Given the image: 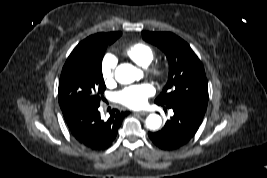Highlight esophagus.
Listing matches in <instances>:
<instances>
[{
    "instance_id": "obj_1",
    "label": "esophagus",
    "mask_w": 267,
    "mask_h": 178,
    "mask_svg": "<svg viewBox=\"0 0 267 178\" xmlns=\"http://www.w3.org/2000/svg\"><path fill=\"white\" fill-rule=\"evenodd\" d=\"M136 114H139V115H147L148 112L147 111H139V112H136Z\"/></svg>"
}]
</instances>
